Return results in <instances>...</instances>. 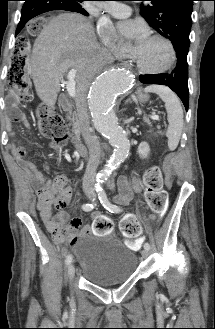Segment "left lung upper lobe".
<instances>
[{
  "label": "left lung upper lobe",
  "instance_id": "left-lung-upper-lobe-1",
  "mask_svg": "<svg viewBox=\"0 0 215 329\" xmlns=\"http://www.w3.org/2000/svg\"><path fill=\"white\" fill-rule=\"evenodd\" d=\"M142 16L159 34L168 38L175 49L189 50L191 14L194 0H146Z\"/></svg>",
  "mask_w": 215,
  "mask_h": 329
}]
</instances>
